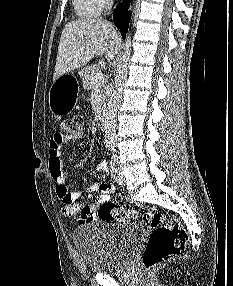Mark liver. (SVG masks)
Instances as JSON below:
<instances>
[{
  "label": "liver",
  "mask_w": 233,
  "mask_h": 286,
  "mask_svg": "<svg viewBox=\"0 0 233 286\" xmlns=\"http://www.w3.org/2000/svg\"><path fill=\"white\" fill-rule=\"evenodd\" d=\"M119 37L113 25L103 19H80L63 28L53 81L80 68L90 59L106 53L108 60L118 51Z\"/></svg>",
  "instance_id": "liver-1"
}]
</instances>
